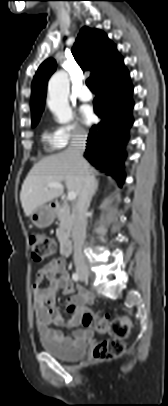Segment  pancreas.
Listing matches in <instances>:
<instances>
[{"label": "pancreas", "instance_id": "cf45deb5", "mask_svg": "<svg viewBox=\"0 0 168 406\" xmlns=\"http://www.w3.org/2000/svg\"><path fill=\"white\" fill-rule=\"evenodd\" d=\"M74 209L65 203L62 207H58L56 215L60 221L59 228L56 231L58 239H63L72 228Z\"/></svg>", "mask_w": 168, "mask_h": 406}]
</instances>
